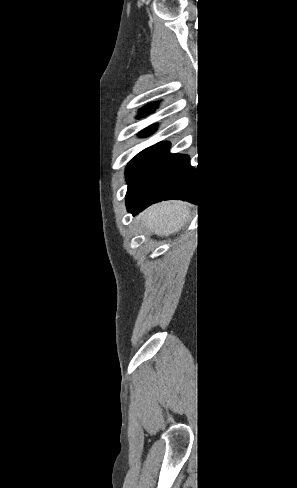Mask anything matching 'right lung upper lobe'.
Here are the masks:
<instances>
[{
    "mask_svg": "<svg viewBox=\"0 0 297 488\" xmlns=\"http://www.w3.org/2000/svg\"><path fill=\"white\" fill-rule=\"evenodd\" d=\"M154 109H155V103L149 104L148 106L142 108L141 115L149 114V113L153 112ZM155 130H156L155 126H150L147 129H145L142 133H152Z\"/></svg>",
    "mask_w": 297,
    "mask_h": 488,
    "instance_id": "1",
    "label": "right lung upper lobe"
}]
</instances>
